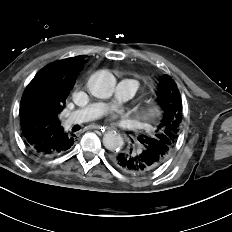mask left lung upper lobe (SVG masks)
Masks as SVG:
<instances>
[{
  "label": "left lung upper lobe",
  "instance_id": "left-lung-upper-lobe-1",
  "mask_svg": "<svg viewBox=\"0 0 232 232\" xmlns=\"http://www.w3.org/2000/svg\"><path fill=\"white\" fill-rule=\"evenodd\" d=\"M157 97L162 118L152 135H141L138 140L142 148L155 151L165 160L177 142L183 116L180 91L170 76L160 78Z\"/></svg>",
  "mask_w": 232,
  "mask_h": 232
}]
</instances>
